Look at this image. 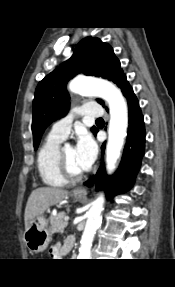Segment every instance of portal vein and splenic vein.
<instances>
[{
    "label": "portal vein and splenic vein",
    "instance_id": "portal-vein-and-splenic-vein-1",
    "mask_svg": "<svg viewBox=\"0 0 175 287\" xmlns=\"http://www.w3.org/2000/svg\"><path fill=\"white\" fill-rule=\"evenodd\" d=\"M69 219H70V217H69V216H65V218H64L65 222H68V221H69Z\"/></svg>",
    "mask_w": 175,
    "mask_h": 287
}]
</instances>
